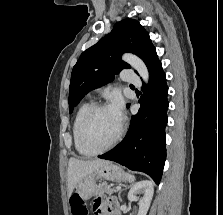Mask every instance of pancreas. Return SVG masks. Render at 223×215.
Segmentation results:
<instances>
[{
  "instance_id": "1",
  "label": "pancreas",
  "mask_w": 223,
  "mask_h": 215,
  "mask_svg": "<svg viewBox=\"0 0 223 215\" xmlns=\"http://www.w3.org/2000/svg\"><path fill=\"white\" fill-rule=\"evenodd\" d=\"M99 187L101 189L97 191V195H99V193H113V191H117V189H111V185L108 184L99 183Z\"/></svg>"
}]
</instances>
